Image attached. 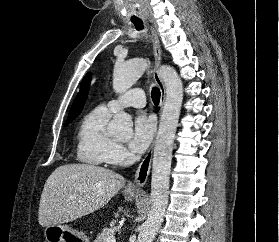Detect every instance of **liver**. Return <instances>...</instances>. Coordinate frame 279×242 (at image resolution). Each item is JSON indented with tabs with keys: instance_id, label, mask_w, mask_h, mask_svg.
Here are the masks:
<instances>
[{
	"instance_id": "liver-1",
	"label": "liver",
	"mask_w": 279,
	"mask_h": 242,
	"mask_svg": "<svg viewBox=\"0 0 279 242\" xmlns=\"http://www.w3.org/2000/svg\"><path fill=\"white\" fill-rule=\"evenodd\" d=\"M125 178L89 164L59 166L48 177L40 198L43 227L74 221L104 206L125 185Z\"/></svg>"
}]
</instances>
